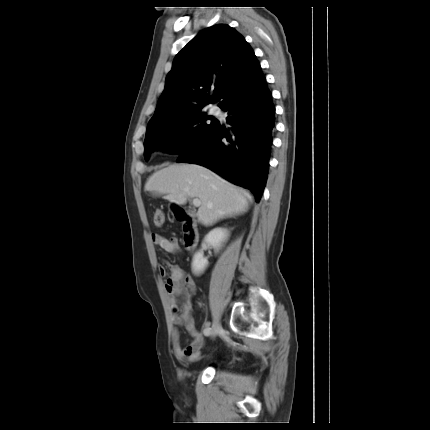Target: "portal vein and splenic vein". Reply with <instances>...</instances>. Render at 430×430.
I'll return each mask as SVG.
<instances>
[{
  "label": "portal vein and splenic vein",
  "instance_id": "1",
  "mask_svg": "<svg viewBox=\"0 0 430 430\" xmlns=\"http://www.w3.org/2000/svg\"><path fill=\"white\" fill-rule=\"evenodd\" d=\"M201 204V201L198 198L193 199V205L195 207H199Z\"/></svg>",
  "mask_w": 430,
  "mask_h": 430
}]
</instances>
